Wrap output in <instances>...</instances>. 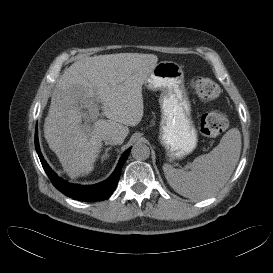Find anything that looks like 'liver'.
I'll list each match as a JSON object with an SVG mask.
<instances>
[{
    "label": "liver",
    "mask_w": 273,
    "mask_h": 273,
    "mask_svg": "<svg viewBox=\"0 0 273 273\" xmlns=\"http://www.w3.org/2000/svg\"><path fill=\"white\" fill-rule=\"evenodd\" d=\"M158 61L154 54L117 53L74 62L57 81L52 93L44 136L71 177L90 173L107 136L122 143L143 117L142 86ZM107 119L82 124L90 118L82 108L98 107ZM121 143V144H122Z\"/></svg>",
    "instance_id": "liver-1"
}]
</instances>
